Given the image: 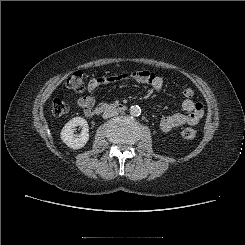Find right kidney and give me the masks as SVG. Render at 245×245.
Wrapping results in <instances>:
<instances>
[{
  "instance_id": "obj_1",
  "label": "right kidney",
  "mask_w": 245,
  "mask_h": 245,
  "mask_svg": "<svg viewBox=\"0 0 245 245\" xmlns=\"http://www.w3.org/2000/svg\"><path fill=\"white\" fill-rule=\"evenodd\" d=\"M80 126L81 133L74 134L75 128ZM62 141L71 149H80L86 145L89 140V126L82 117H74L69 120L61 130Z\"/></svg>"
}]
</instances>
